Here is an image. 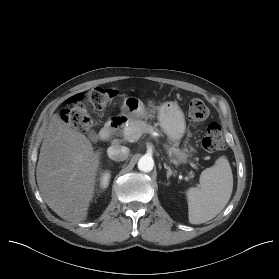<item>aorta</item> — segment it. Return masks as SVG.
<instances>
[{"instance_id": "1", "label": "aorta", "mask_w": 279, "mask_h": 279, "mask_svg": "<svg viewBox=\"0 0 279 279\" xmlns=\"http://www.w3.org/2000/svg\"><path fill=\"white\" fill-rule=\"evenodd\" d=\"M154 160L151 156L144 155L138 161V169L143 172H150L153 170Z\"/></svg>"}]
</instances>
